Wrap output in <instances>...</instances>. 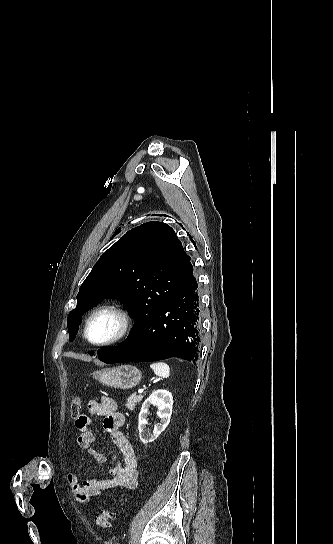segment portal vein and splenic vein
I'll return each instance as SVG.
<instances>
[{"label":"portal vein and splenic vein","mask_w":333,"mask_h":544,"mask_svg":"<svg viewBox=\"0 0 333 544\" xmlns=\"http://www.w3.org/2000/svg\"><path fill=\"white\" fill-rule=\"evenodd\" d=\"M143 391H144V389H139L138 393H142Z\"/></svg>","instance_id":"18ae733b"}]
</instances>
